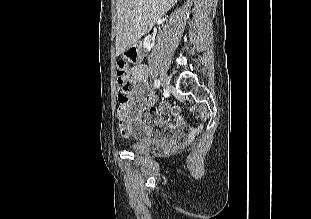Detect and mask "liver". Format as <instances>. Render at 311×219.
Returning a JSON list of instances; mask_svg holds the SVG:
<instances>
[{
  "label": "liver",
  "instance_id": "liver-1",
  "mask_svg": "<svg viewBox=\"0 0 311 219\" xmlns=\"http://www.w3.org/2000/svg\"><path fill=\"white\" fill-rule=\"evenodd\" d=\"M178 0H117L116 56L148 33Z\"/></svg>",
  "mask_w": 311,
  "mask_h": 219
}]
</instances>
